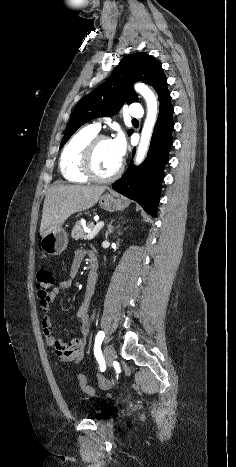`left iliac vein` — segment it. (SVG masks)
Listing matches in <instances>:
<instances>
[{
	"instance_id": "4c4485c4",
	"label": "left iliac vein",
	"mask_w": 236,
	"mask_h": 467,
	"mask_svg": "<svg viewBox=\"0 0 236 467\" xmlns=\"http://www.w3.org/2000/svg\"><path fill=\"white\" fill-rule=\"evenodd\" d=\"M104 357L106 364L110 367L112 365L113 360L115 359V349L113 346L108 345L104 349Z\"/></svg>"
}]
</instances>
